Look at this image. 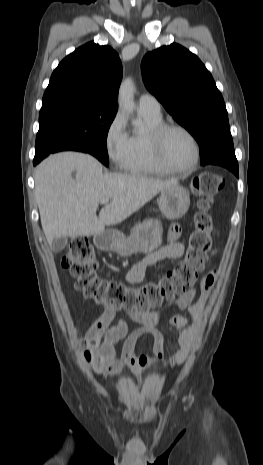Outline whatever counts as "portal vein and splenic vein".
<instances>
[{
    "instance_id": "1",
    "label": "portal vein and splenic vein",
    "mask_w": 263,
    "mask_h": 465,
    "mask_svg": "<svg viewBox=\"0 0 263 465\" xmlns=\"http://www.w3.org/2000/svg\"><path fill=\"white\" fill-rule=\"evenodd\" d=\"M109 202V199H102L100 201L101 204H107Z\"/></svg>"
}]
</instances>
